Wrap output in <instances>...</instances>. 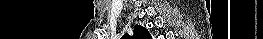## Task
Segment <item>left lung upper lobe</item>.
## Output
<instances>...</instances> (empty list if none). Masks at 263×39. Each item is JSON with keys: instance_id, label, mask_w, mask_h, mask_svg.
Here are the masks:
<instances>
[{"instance_id": "left-lung-upper-lobe-1", "label": "left lung upper lobe", "mask_w": 263, "mask_h": 39, "mask_svg": "<svg viewBox=\"0 0 263 39\" xmlns=\"http://www.w3.org/2000/svg\"><path fill=\"white\" fill-rule=\"evenodd\" d=\"M123 39H152L151 35L149 34L148 30L140 25L134 26V36H130L125 34Z\"/></svg>"}]
</instances>
